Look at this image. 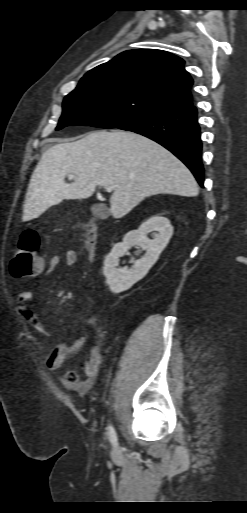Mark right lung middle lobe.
<instances>
[{
	"label": "right lung middle lobe",
	"mask_w": 247,
	"mask_h": 513,
	"mask_svg": "<svg viewBox=\"0 0 247 513\" xmlns=\"http://www.w3.org/2000/svg\"><path fill=\"white\" fill-rule=\"evenodd\" d=\"M168 108L137 92L118 88L78 89L63 101L56 130L69 125L119 128Z\"/></svg>",
	"instance_id": "dd1d6c3e"
}]
</instances>
